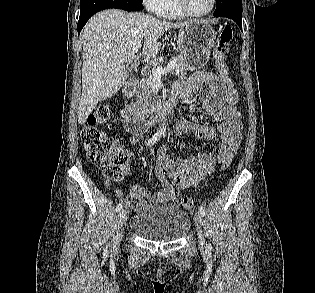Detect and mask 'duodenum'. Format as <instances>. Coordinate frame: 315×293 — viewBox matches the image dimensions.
I'll return each mask as SVG.
<instances>
[{
    "label": "duodenum",
    "mask_w": 315,
    "mask_h": 293,
    "mask_svg": "<svg viewBox=\"0 0 315 293\" xmlns=\"http://www.w3.org/2000/svg\"><path fill=\"white\" fill-rule=\"evenodd\" d=\"M136 86V81L128 83L123 90L124 97L130 98L135 93ZM176 104L177 95L172 93L167 99L155 103L143 112L133 113L125 107H123L120 112L126 130L132 134H139L146 131L153 123L169 114Z\"/></svg>",
    "instance_id": "410a0bca"
}]
</instances>
